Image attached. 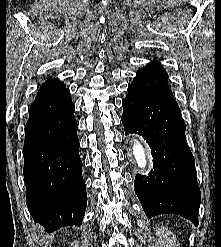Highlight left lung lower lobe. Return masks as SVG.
Returning a JSON list of instances; mask_svg holds the SVG:
<instances>
[{
    "label": "left lung lower lobe",
    "instance_id": "0a47b994",
    "mask_svg": "<svg viewBox=\"0 0 221 247\" xmlns=\"http://www.w3.org/2000/svg\"><path fill=\"white\" fill-rule=\"evenodd\" d=\"M122 102L125 134L147 140L153 168L135 177L134 190L146 215H181L198 225L201 200L195 160L185 138L186 126L178 105L166 103L128 87Z\"/></svg>",
    "mask_w": 221,
    "mask_h": 247
}]
</instances>
